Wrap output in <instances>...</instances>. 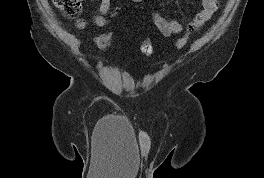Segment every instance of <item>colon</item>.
<instances>
[{"mask_svg":"<svg viewBox=\"0 0 264 178\" xmlns=\"http://www.w3.org/2000/svg\"><path fill=\"white\" fill-rule=\"evenodd\" d=\"M53 5L69 18H77L82 12L81 0H51ZM112 33L106 32L96 37V43L102 51L110 46ZM187 41V35L177 41V46L182 47ZM140 51L145 56H152L154 53L150 39L145 38L140 44Z\"/></svg>","mask_w":264,"mask_h":178,"instance_id":"5ec220e1","label":"colon"}]
</instances>
